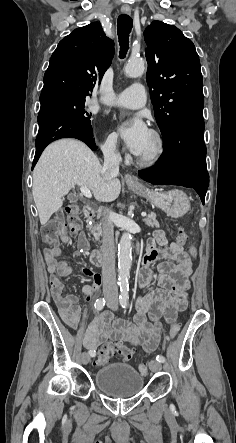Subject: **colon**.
<instances>
[{"label":"colon","mask_w":236,"mask_h":443,"mask_svg":"<svg viewBox=\"0 0 236 443\" xmlns=\"http://www.w3.org/2000/svg\"><path fill=\"white\" fill-rule=\"evenodd\" d=\"M66 223L72 233H77L81 227V208L78 205L71 204L66 207ZM64 222L61 219H53L43 228V240L46 243L57 245L59 239L65 235ZM176 243L184 245L188 242V234L179 227L175 231ZM190 252L195 255L194 247ZM180 332V325L172 324L169 332V341L175 342ZM132 357V350L126 346L117 343H107L101 347L98 352L97 364L100 366L109 364L112 361H129ZM138 370L142 375L147 374V367L144 363L139 364Z\"/></svg>","instance_id":"5ec220e1"}]
</instances>
